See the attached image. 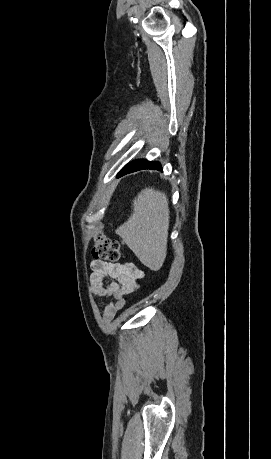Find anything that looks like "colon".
<instances>
[{"mask_svg":"<svg viewBox=\"0 0 271 459\" xmlns=\"http://www.w3.org/2000/svg\"><path fill=\"white\" fill-rule=\"evenodd\" d=\"M92 255L101 261H117L121 256V244L104 235H97L92 244Z\"/></svg>","mask_w":271,"mask_h":459,"instance_id":"1","label":"colon"}]
</instances>
